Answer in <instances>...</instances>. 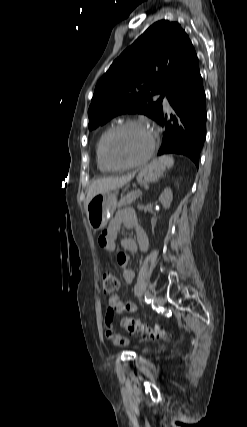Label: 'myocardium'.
<instances>
[{
  "mask_svg": "<svg viewBox=\"0 0 247 427\" xmlns=\"http://www.w3.org/2000/svg\"><path fill=\"white\" fill-rule=\"evenodd\" d=\"M132 126L141 127L150 131V133L152 134L151 146L148 152L141 159L131 163H126V164L117 163L116 161H114L110 153L111 141L118 132H120L121 130L127 127H132ZM158 142H159V133L155 128L139 120H133V119L126 120L114 126L105 137L104 143H103V157L106 163L114 170H124V169L134 168V167L145 164L151 159V157L153 156L157 148Z\"/></svg>",
  "mask_w": 247,
  "mask_h": 427,
  "instance_id": "myocardium-1",
  "label": "myocardium"
}]
</instances>
